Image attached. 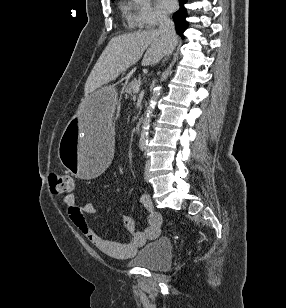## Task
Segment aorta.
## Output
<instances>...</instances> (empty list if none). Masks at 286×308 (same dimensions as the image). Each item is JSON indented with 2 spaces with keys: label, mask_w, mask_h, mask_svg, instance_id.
<instances>
[{
  "label": "aorta",
  "mask_w": 286,
  "mask_h": 308,
  "mask_svg": "<svg viewBox=\"0 0 286 308\" xmlns=\"http://www.w3.org/2000/svg\"><path fill=\"white\" fill-rule=\"evenodd\" d=\"M133 1L135 3H141L144 0H133ZM161 92H162V86L158 85L154 88L149 105L145 111L144 119L142 122V131H141L140 141H139L140 145L143 147H146L149 142V128H150L151 118H152V114L155 109L157 100L161 95Z\"/></svg>",
  "instance_id": "obj_1"
}]
</instances>
